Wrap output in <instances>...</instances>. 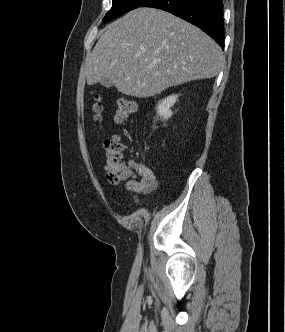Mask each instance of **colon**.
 <instances>
[{"label": "colon", "mask_w": 285, "mask_h": 332, "mask_svg": "<svg viewBox=\"0 0 285 332\" xmlns=\"http://www.w3.org/2000/svg\"><path fill=\"white\" fill-rule=\"evenodd\" d=\"M136 110V102L127 96H121L117 100L116 120L124 121ZM94 120L101 122L102 105L100 98L96 97L92 105ZM125 145L120 137L113 136L104 142L105 172L107 179L113 184H119L133 178V168L123 159Z\"/></svg>", "instance_id": "1"}]
</instances>
